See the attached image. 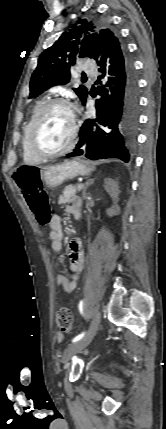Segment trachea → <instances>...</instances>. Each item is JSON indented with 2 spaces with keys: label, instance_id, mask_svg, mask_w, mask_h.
<instances>
[{
  "label": "trachea",
  "instance_id": "3493384b",
  "mask_svg": "<svg viewBox=\"0 0 166 429\" xmlns=\"http://www.w3.org/2000/svg\"><path fill=\"white\" fill-rule=\"evenodd\" d=\"M87 80V78L84 76V77H82V81H86Z\"/></svg>",
  "mask_w": 166,
  "mask_h": 429
}]
</instances>
